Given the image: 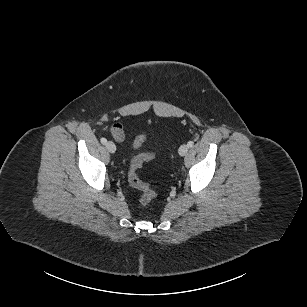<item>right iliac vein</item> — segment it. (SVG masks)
<instances>
[{
	"label": "right iliac vein",
	"instance_id": "63e3f726",
	"mask_svg": "<svg viewBox=\"0 0 307 307\" xmlns=\"http://www.w3.org/2000/svg\"><path fill=\"white\" fill-rule=\"evenodd\" d=\"M106 148L110 153H115L116 151V146L112 141L106 143Z\"/></svg>",
	"mask_w": 307,
	"mask_h": 307
}]
</instances>
